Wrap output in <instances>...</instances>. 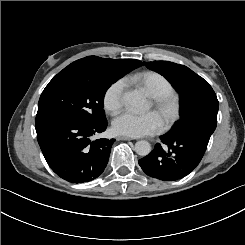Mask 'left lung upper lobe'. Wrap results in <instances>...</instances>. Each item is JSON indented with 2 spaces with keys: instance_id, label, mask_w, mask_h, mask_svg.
Segmentation results:
<instances>
[{
  "instance_id": "obj_1",
  "label": "left lung upper lobe",
  "mask_w": 245,
  "mask_h": 245,
  "mask_svg": "<svg viewBox=\"0 0 245 245\" xmlns=\"http://www.w3.org/2000/svg\"><path fill=\"white\" fill-rule=\"evenodd\" d=\"M144 64L164 76L180 94L182 117L174 126L181 124L189 114H199V109L209 105L210 99H217L208 82L186 66L168 61Z\"/></svg>"
}]
</instances>
